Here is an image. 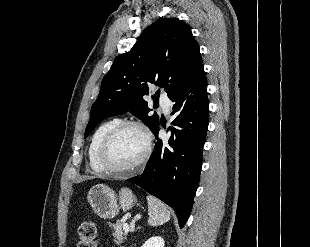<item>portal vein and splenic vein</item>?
I'll list each match as a JSON object with an SVG mask.
<instances>
[{"instance_id": "18ae733b", "label": "portal vein and splenic vein", "mask_w": 310, "mask_h": 247, "mask_svg": "<svg viewBox=\"0 0 310 247\" xmlns=\"http://www.w3.org/2000/svg\"><path fill=\"white\" fill-rule=\"evenodd\" d=\"M123 229H124L125 232H129L130 231V228H129L128 224H124L123 225Z\"/></svg>"}]
</instances>
